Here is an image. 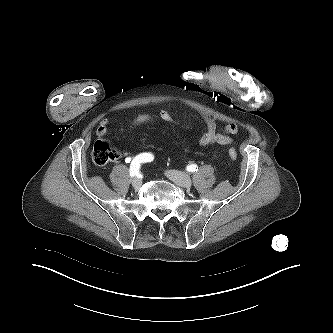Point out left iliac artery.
I'll return each instance as SVG.
<instances>
[{
	"label": "left iliac artery",
	"instance_id": "left-iliac-artery-1",
	"mask_svg": "<svg viewBox=\"0 0 333 333\" xmlns=\"http://www.w3.org/2000/svg\"><path fill=\"white\" fill-rule=\"evenodd\" d=\"M198 169V166L196 164H191L187 166V171L194 172Z\"/></svg>",
	"mask_w": 333,
	"mask_h": 333
}]
</instances>
